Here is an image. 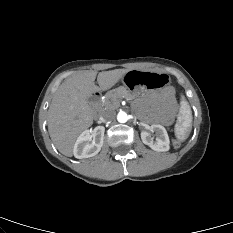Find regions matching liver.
<instances>
[{"mask_svg":"<svg viewBox=\"0 0 233 233\" xmlns=\"http://www.w3.org/2000/svg\"><path fill=\"white\" fill-rule=\"evenodd\" d=\"M129 70L115 69L97 72L81 71L66 79L56 91L48 109V131L56 148L63 155H73L79 134L93 124V111L89 97L112 88ZM97 76L99 87L94 81Z\"/></svg>","mask_w":233,"mask_h":233,"instance_id":"liver-1","label":"liver"}]
</instances>
